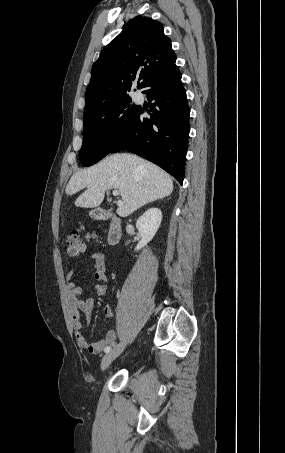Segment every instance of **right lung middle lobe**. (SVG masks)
Listing matches in <instances>:
<instances>
[{"label":"right lung middle lobe","mask_w":285,"mask_h":453,"mask_svg":"<svg viewBox=\"0 0 285 453\" xmlns=\"http://www.w3.org/2000/svg\"><path fill=\"white\" fill-rule=\"evenodd\" d=\"M131 102L127 94L83 114V144L79 152L83 166H91L111 152L139 108Z\"/></svg>","instance_id":"dd1d6c3e"}]
</instances>
